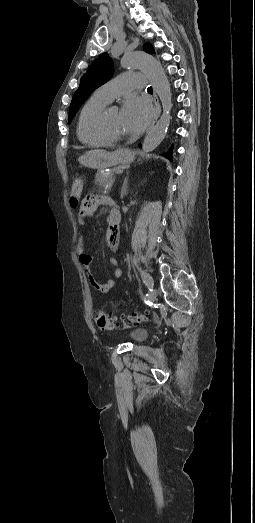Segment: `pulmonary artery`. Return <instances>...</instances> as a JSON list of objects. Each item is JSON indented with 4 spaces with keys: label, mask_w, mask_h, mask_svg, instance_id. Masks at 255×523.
Returning a JSON list of instances; mask_svg holds the SVG:
<instances>
[{
    "label": "pulmonary artery",
    "mask_w": 255,
    "mask_h": 523,
    "mask_svg": "<svg viewBox=\"0 0 255 523\" xmlns=\"http://www.w3.org/2000/svg\"><path fill=\"white\" fill-rule=\"evenodd\" d=\"M144 83L145 77L141 73L122 71L118 77H113L111 82L100 86L98 90L104 96L113 100L121 94L127 96L129 92L139 91Z\"/></svg>",
    "instance_id": "e3ab8cb5"
}]
</instances>
